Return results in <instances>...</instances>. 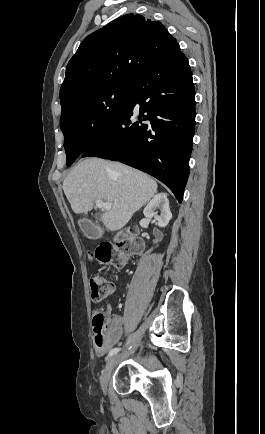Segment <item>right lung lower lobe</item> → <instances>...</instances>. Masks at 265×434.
<instances>
[{"label": "right lung lower lobe", "instance_id": "obj_1", "mask_svg": "<svg viewBox=\"0 0 265 434\" xmlns=\"http://www.w3.org/2000/svg\"><path fill=\"white\" fill-rule=\"evenodd\" d=\"M195 91L177 43L133 81L128 107L80 157L120 161L166 184L179 202L189 176Z\"/></svg>", "mask_w": 265, "mask_h": 434}]
</instances>
